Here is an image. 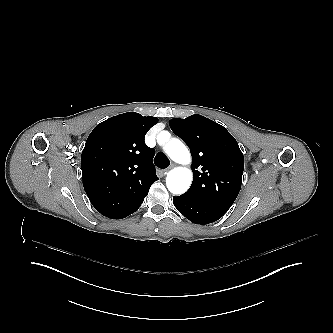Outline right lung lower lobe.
<instances>
[{
  "label": "right lung lower lobe",
  "instance_id": "98d812e1",
  "mask_svg": "<svg viewBox=\"0 0 333 333\" xmlns=\"http://www.w3.org/2000/svg\"><path fill=\"white\" fill-rule=\"evenodd\" d=\"M83 186L89 200L102 215L121 219L134 213L144 201L156 175L119 177L103 161L82 168Z\"/></svg>",
  "mask_w": 333,
  "mask_h": 333
}]
</instances>
